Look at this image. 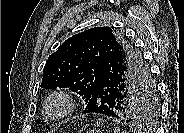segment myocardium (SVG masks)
Here are the masks:
<instances>
[{
  "label": "myocardium",
  "mask_w": 184,
  "mask_h": 133,
  "mask_svg": "<svg viewBox=\"0 0 184 133\" xmlns=\"http://www.w3.org/2000/svg\"><path fill=\"white\" fill-rule=\"evenodd\" d=\"M55 103L59 105V109L52 112L50 108ZM75 106V99L71 93L65 90H56L46 98L43 109L49 119L59 121L71 115L75 110Z\"/></svg>",
  "instance_id": "f54148a6"
}]
</instances>
